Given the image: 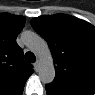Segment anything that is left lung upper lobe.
<instances>
[{
  "label": "left lung upper lobe",
  "mask_w": 95,
  "mask_h": 95,
  "mask_svg": "<svg viewBox=\"0 0 95 95\" xmlns=\"http://www.w3.org/2000/svg\"><path fill=\"white\" fill-rule=\"evenodd\" d=\"M33 29L48 43L54 58L51 85H76L95 91V28L66 14L32 19Z\"/></svg>",
  "instance_id": "obj_1"
}]
</instances>
